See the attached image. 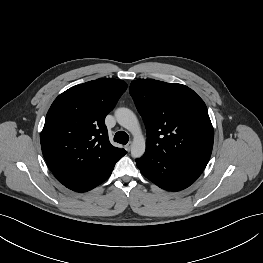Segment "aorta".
I'll use <instances>...</instances> for the list:
<instances>
[{
  "mask_svg": "<svg viewBox=\"0 0 263 263\" xmlns=\"http://www.w3.org/2000/svg\"><path fill=\"white\" fill-rule=\"evenodd\" d=\"M115 117L119 125L127 129L133 135L131 155L140 158L145 152V139L142 135L136 115L128 108H118Z\"/></svg>",
  "mask_w": 263,
  "mask_h": 263,
  "instance_id": "aorta-1",
  "label": "aorta"
}]
</instances>
